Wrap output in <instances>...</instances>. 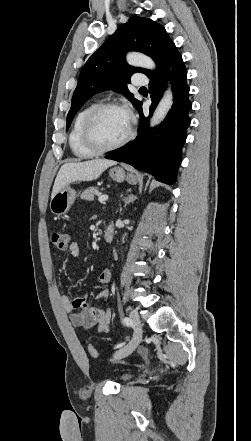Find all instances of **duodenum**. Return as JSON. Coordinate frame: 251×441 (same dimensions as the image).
<instances>
[{"instance_id": "410a0bca", "label": "duodenum", "mask_w": 251, "mask_h": 441, "mask_svg": "<svg viewBox=\"0 0 251 441\" xmlns=\"http://www.w3.org/2000/svg\"><path fill=\"white\" fill-rule=\"evenodd\" d=\"M114 225L113 223H109L104 230L103 238L106 242H111L114 238Z\"/></svg>"}]
</instances>
